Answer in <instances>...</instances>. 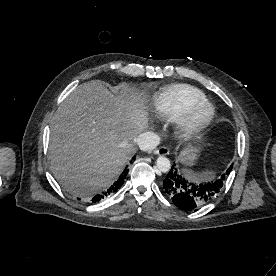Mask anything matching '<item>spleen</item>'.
<instances>
[{"label": "spleen", "instance_id": "3e777b00", "mask_svg": "<svg viewBox=\"0 0 276 276\" xmlns=\"http://www.w3.org/2000/svg\"><path fill=\"white\" fill-rule=\"evenodd\" d=\"M187 177L193 181H211L214 179L215 174L210 171H206L203 173H193L190 171H185Z\"/></svg>", "mask_w": 276, "mask_h": 276}]
</instances>
